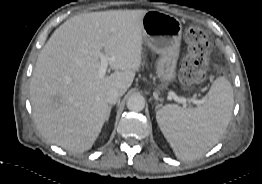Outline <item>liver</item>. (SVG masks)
Here are the masks:
<instances>
[{
    "label": "liver",
    "mask_w": 262,
    "mask_h": 184,
    "mask_svg": "<svg viewBox=\"0 0 262 184\" xmlns=\"http://www.w3.org/2000/svg\"><path fill=\"white\" fill-rule=\"evenodd\" d=\"M147 10H109L76 15L40 51L30 82L38 130L72 153L90 150L109 118L106 93L121 96L142 63V18ZM115 70L99 75V53Z\"/></svg>",
    "instance_id": "liver-1"
}]
</instances>
